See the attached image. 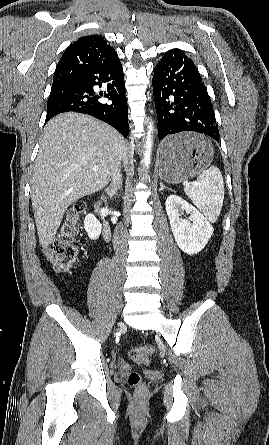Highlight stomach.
<instances>
[{
  "label": "stomach",
  "mask_w": 269,
  "mask_h": 445,
  "mask_svg": "<svg viewBox=\"0 0 269 445\" xmlns=\"http://www.w3.org/2000/svg\"><path fill=\"white\" fill-rule=\"evenodd\" d=\"M176 143L180 151L174 155H165L163 146ZM159 160V176L167 183L176 184L204 171L213 158V146L201 135L182 133L171 136L161 143Z\"/></svg>",
  "instance_id": "1"
}]
</instances>
